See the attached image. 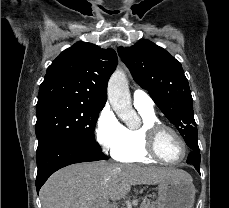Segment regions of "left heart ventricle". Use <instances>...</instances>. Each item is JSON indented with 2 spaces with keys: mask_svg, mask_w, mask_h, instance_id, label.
Wrapping results in <instances>:
<instances>
[{
  "mask_svg": "<svg viewBox=\"0 0 229 208\" xmlns=\"http://www.w3.org/2000/svg\"><path fill=\"white\" fill-rule=\"evenodd\" d=\"M170 130H164L159 139H156V152L162 160H179L185 154V147H178V143L171 139Z\"/></svg>",
  "mask_w": 229,
  "mask_h": 208,
  "instance_id": "left-heart-ventricle-1",
  "label": "left heart ventricle"
}]
</instances>
